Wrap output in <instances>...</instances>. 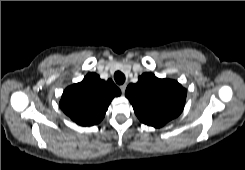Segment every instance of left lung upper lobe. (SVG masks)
I'll use <instances>...</instances> for the list:
<instances>
[{"label":"left lung upper lobe","mask_w":245,"mask_h":170,"mask_svg":"<svg viewBox=\"0 0 245 170\" xmlns=\"http://www.w3.org/2000/svg\"><path fill=\"white\" fill-rule=\"evenodd\" d=\"M186 94V89L177 81L159 79L152 73L142 74L125 92L139 120L155 128L181 114Z\"/></svg>","instance_id":"5c2ea615"}]
</instances>
